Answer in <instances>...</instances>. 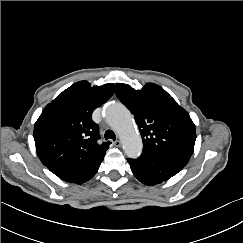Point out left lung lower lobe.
<instances>
[{
    "label": "left lung lower lobe",
    "instance_id": "obj_1",
    "mask_svg": "<svg viewBox=\"0 0 243 243\" xmlns=\"http://www.w3.org/2000/svg\"><path fill=\"white\" fill-rule=\"evenodd\" d=\"M135 177L145 185L168 180L188 163V160L142 152L137 159H127Z\"/></svg>",
    "mask_w": 243,
    "mask_h": 243
}]
</instances>
